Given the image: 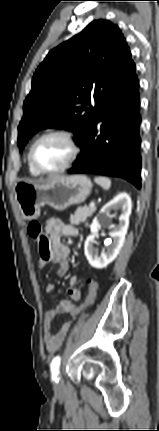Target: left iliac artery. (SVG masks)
<instances>
[{
    "label": "left iliac artery",
    "mask_w": 159,
    "mask_h": 431,
    "mask_svg": "<svg viewBox=\"0 0 159 431\" xmlns=\"http://www.w3.org/2000/svg\"><path fill=\"white\" fill-rule=\"evenodd\" d=\"M61 358L60 356L54 357V359L51 362V372H52V379L55 381H58L57 375L59 373V367H60Z\"/></svg>",
    "instance_id": "left-iliac-artery-1"
}]
</instances>
